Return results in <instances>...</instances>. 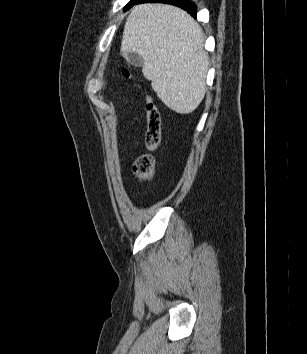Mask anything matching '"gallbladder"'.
<instances>
[{"label": "gallbladder", "mask_w": 307, "mask_h": 354, "mask_svg": "<svg viewBox=\"0 0 307 354\" xmlns=\"http://www.w3.org/2000/svg\"><path fill=\"white\" fill-rule=\"evenodd\" d=\"M125 58L128 63H130L135 67H141L144 63L143 58L136 53H129L128 55L125 56Z\"/></svg>", "instance_id": "1"}]
</instances>
